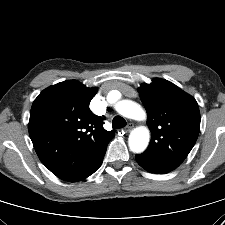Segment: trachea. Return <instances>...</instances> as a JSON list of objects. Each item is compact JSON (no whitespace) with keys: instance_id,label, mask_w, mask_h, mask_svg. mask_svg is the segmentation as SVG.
<instances>
[{"instance_id":"trachea-1","label":"trachea","mask_w":225,"mask_h":225,"mask_svg":"<svg viewBox=\"0 0 225 225\" xmlns=\"http://www.w3.org/2000/svg\"><path fill=\"white\" fill-rule=\"evenodd\" d=\"M126 120L121 116H115L112 121V126L114 129H120L126 126Z\"/></svg>"}]
</instances>
